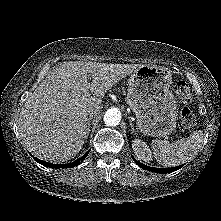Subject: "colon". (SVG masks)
I'll use <instances>...</instances> for the list:
<instances>
[{"label": "colon", "mask_w": 221, "mask_h": 221, "mask_svg": "<svg viewBox=\"0 0 221 221\" xmlns=\"http://www.w3.org/2000/svg\"><path fill=\"white\" fill-rule=\"evenodd\" d=\"M175 94L177 98L182 102V103H190L192 101V93L189 88V86L183 82L179 81L176 83L174 87ZM181 122L185 127L191 128L196 125V117L193 114V112L188 109L184 108L181 111L180 114Z\"/></svg>", "instance_id": "obj_1"}]
</instances>
